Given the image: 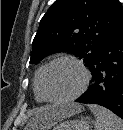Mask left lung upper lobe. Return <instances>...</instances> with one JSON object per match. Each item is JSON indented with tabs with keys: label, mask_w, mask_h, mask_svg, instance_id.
<instances>
[{
	"label": "left lung upper lobe",
	"mask_w": 123,
	"mask_h": 130,
	"mask_svg": "<svg viewBox=\"0 0 123 130\" xmlns=\"http://www.w3.org/2000/svg\"><path fill=\"white\" fill-rule=\"evenodd\" d=\"M122 23L119 0H56L40 21L30 63L63 51L90 67Z\"/></svg>",
	"instance_id": "5c2ea615"
}]
</instances>
